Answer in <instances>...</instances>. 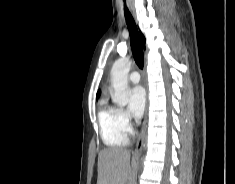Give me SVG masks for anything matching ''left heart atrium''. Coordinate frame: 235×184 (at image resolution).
<instances>
[{
  "mask_svg": "<svg viewBox=\"0 0 235 184\" xmlns=\"http://www.w3.org/2000/svg\"><path fill=\"white\" fill-rule=\"evenodd\" d=\"M146 94L143 88L134 87L129 95V111L134 118H140L145 110Z\"/></svg>",
  "mask_w": 235,
  "mask_h": 184,
  "instance_id": "obj_1",
  "label": "left heart atrium"
}]
</instances>
